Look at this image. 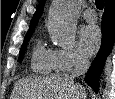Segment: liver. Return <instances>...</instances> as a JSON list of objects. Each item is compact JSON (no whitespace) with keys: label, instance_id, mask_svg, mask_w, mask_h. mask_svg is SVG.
<instances>
[{"label":"liver","instance_id":"obj_1","mask_svg":"<svg viewBox=\"0 0 115 99\" xmlns=\"http://www.w3.org/2000/svg\"><path fill=\"white\" fill-rule=\"evenodd\" d=\"M12 99H86V92L70 75L54 74L18 80Z\"/></svg>","mask_w":115,"mask_h":99}]
</instances>
